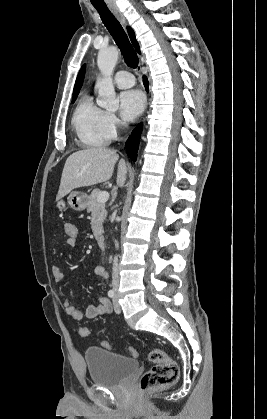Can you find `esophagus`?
Segmentation results:
<instances>
[{
	"mask_svg": "<svg viewBox=\"0 0 267 419\" xmlns=\"http://www.w3.org/2000/svg\"><path fill=\"white\" fill-rule=\"evenodd\" d=\"M111 9H112V12L115 14V16H116V17L120 20V22H121L123 25H126L125 18H124V16L122 15V13L118 10V8H117V7H112Z\"/></svg>",
	"mask_w": 267,
	"mask_h": 419,
	"instance_id": "esophagus-1",
	"label": "esophagus"
}]
</instances>
